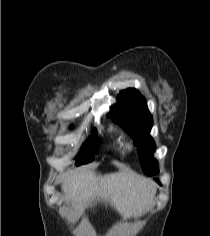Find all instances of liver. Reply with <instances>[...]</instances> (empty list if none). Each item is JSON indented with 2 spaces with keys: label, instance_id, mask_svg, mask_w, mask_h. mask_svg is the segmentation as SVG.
Here are the masks:
<instances>
[{
  "label": "liver",
  "instance_id": "6515ba94",
  "mask_svg": "<svg viewBox=\"0 0 210 236\" xmlns=\"http://www.w3.org/2000/svg\"><path fill=\"white\" fill-rule=\"evenodd\" d=\"M66 200L77 204L80 212L93 202H109L124 218L141 216L153 204L154 184L125 173L97 175L94 169L66 176L62 183Z\"/></svg>",
  "mask_w": 210,
  "mask_h": 236
}]
</instances>
